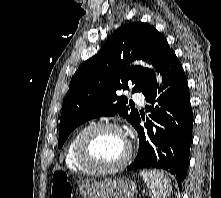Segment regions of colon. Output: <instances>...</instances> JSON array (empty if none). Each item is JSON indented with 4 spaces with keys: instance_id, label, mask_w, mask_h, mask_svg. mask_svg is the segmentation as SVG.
I'll list each match as a JSON object with an SVG mask.
<instances>
[{
    "instance_id": "1",
    "label": "colon",
    "mask_w": 221,
    "mask_h": 198,
    "mask_svg": "<svg viewBox=\"0 0 221 198\" xmlns=\"http://www.w3.org/2000/svg\"><path fill=\"white\" fill-rule=\"evenodd\" d=\"M52 198H72V185L64 172H56L52 178Z\"/></svg>"
}]
</instances>
